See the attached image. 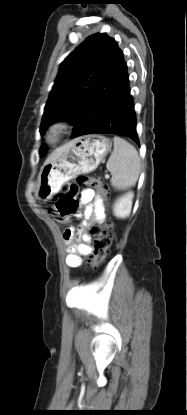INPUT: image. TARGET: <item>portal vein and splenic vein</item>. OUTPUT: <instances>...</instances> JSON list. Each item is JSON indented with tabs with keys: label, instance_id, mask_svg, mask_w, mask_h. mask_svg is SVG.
Segmentation results:
<instances>
[{
	"label": "portal vein and splenic vein",
	"instance_id": "18ae733b",
	"mask_svg": "<svg viewBox=\"0 0 187 415\" xmlns=\"http://www.w3.org/2000/svg\"><path fill=\"white\" fill-rule=\"evenodd\" d=\"M109 177H110L109 174H105L106 179H109Z\"/></svg>",
	"mask_w": 187,
	"mask_h": 415
}]
</instances>
